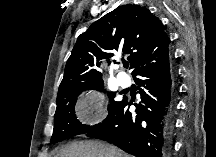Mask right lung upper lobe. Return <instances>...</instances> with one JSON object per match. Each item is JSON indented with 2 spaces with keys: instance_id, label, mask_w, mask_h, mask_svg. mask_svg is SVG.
<instances>
[{
  "instance_id": "obj_1",
  "label": "right lung upper lobe",
  "mask_w": 216,
  "mask_h": 157,
  "mask_svg": "<svg viewBox=\"0 0 216 157\" xmlns=\"http://www.w3.org/2000/svg\"><path fill=\"white\" fill-rule=\"evenodd\" d=\"M170 39L162 22L147 8L122 5L94 22L82 33L68 58L57 98L65 93L103 87L97 70L103 57L130 54L134 75L168 50ZM115 62V61H114Z\"/></svg>"
}]
</instances>
